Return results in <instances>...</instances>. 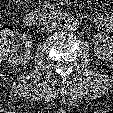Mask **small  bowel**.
<instances>
[{
    "mask_svg": "<svg viewBox=\"0 0 113 113\" xmlns=\"http://www.w3.org/2000/svg\"><path fill=\"white\" fill-rule=\"evenodd\" d=\"M94 22L101 28L113 34V16L105 14H97L93 17Z\"/></svg>",
    "mask_w": 113,
    "mask_h": 113,
    "instance_id": "c3829d8e",
    "label": "small bowel"
}]
</instances>
